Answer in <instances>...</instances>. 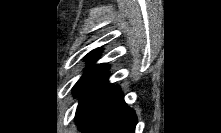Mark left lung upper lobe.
Returning <instances> with one entry per match:
<instances>
[{"label":"left lung upper lobe","instance_id":"1","mask_svg":"<svg viewBox=\"0 0 221 133\" xmlns=\"http://www.w3.org/2000/svg\"><path fill=\"white\" fill-rule=\"evenodd\" d=\"M100 55V50L95 49L91 51L86 56V61L89 63L93 62ZM108 69V66L105 64L94 65L90 67L82 76V78L76 83L73 88V94L75 96L80 95V93L89 86L94 80L99 78L102 74H104Z\"/></svg>","mask_w":221,"mask_h":133}]
</instances>
